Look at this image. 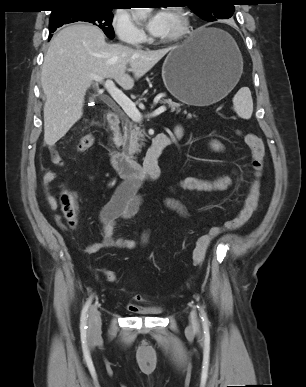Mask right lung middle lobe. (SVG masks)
Masks as SVG:
<instances>
[{
	"instance_id": "obj_1",
	"label": "right lung middle lobe",
	"mask_w": 306,
	"mask_h": 387,
	"mask_svg": "<svg viewBox=\"0 0 306 387\" xmlns=\"http://www.w3.org/2000/svg\"><path fill=\"white\" fill-rule=\"evenodd\" d=\"M113 8L104 6H73L64 8L51 14L49 20V30L54 32L56 28L64 24L84 21L93 23L101 28L107 37L114 38L112 27Z\"/></svg>"
}]
</instances>
